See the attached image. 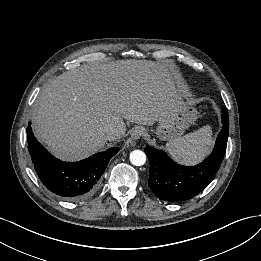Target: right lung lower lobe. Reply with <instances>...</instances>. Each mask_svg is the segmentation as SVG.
Segmentation results:
<instances>
[{"instance_id":"1","label":"right lung lower lobe","mask_w":261,"mask_h":261,"mask_svg":"<svg viewBox=\"0 0 261 261\" xmlns=\"http://www.w3.org/2000/svg\"><path fill=\"white\" fill-rule=\"evenodd\" d=\"M27 128L28 149L41 182L66 200L77 201L92 195L98 188L109 160L119 151L113 147L79 162H63L53 157Z\"/></svg>"}]
</instances>
